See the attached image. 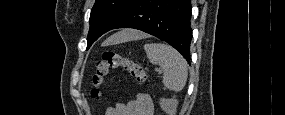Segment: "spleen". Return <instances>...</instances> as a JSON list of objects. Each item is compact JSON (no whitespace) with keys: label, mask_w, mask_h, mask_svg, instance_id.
I'll return each instance as SVG.
<instances>
[{"label":"spleen","mask_w":285,"mask_h":115,"mask_svg":"<svg viewBox=\"0 0 285 115\" xmlns=\"http://www.w3.org/2000/svg\"><path fill=\"white\" fill-rule=\"evenodd\" d=\"M114 37L118 40L124 39L122 32ZM144 50L149 61L162 68L165 88L174 92L181 91L188 77V65L183 56L173 47L163 43L145 44Z\"/></svg>","instance_id":"1"}]
</instances>
